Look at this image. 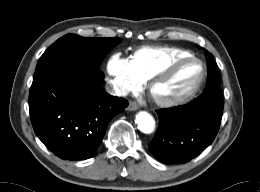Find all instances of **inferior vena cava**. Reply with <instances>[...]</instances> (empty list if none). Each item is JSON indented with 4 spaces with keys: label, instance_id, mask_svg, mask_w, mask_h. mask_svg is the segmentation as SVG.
I'll use <instances>...</instances> for the list:
<instances>
[{
    "label": "inferior vena cava",
    "instance_id": "602c4592",
    "mask_svg": "<svg viewBox=\"0 0 260 192\" xmlns=\"http://www.w3.org/2000/svg\"><path fill=\"white\" fill-rule=\"evenodd\" d=\"M105 89L107 93L113 96H126L128 94L127 89L114 80H109Z\"/></svg>",
    "mask_w": 260,
    "mask_h": 192
}]
</instances>
